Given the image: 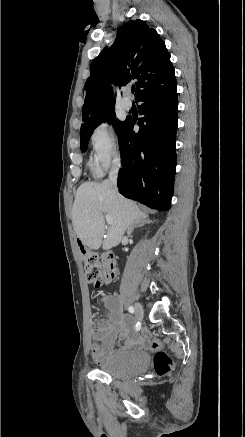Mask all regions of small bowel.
I'll return each instance as SVG.
<instances>
[{"label": "small bowel", "instance_id": "c3829d8e", "mask_svg": "<svg viewBox=\"0 0 245 437\" xmlns=\"http://www.w3.org/2000/svg\"><path fill=\"white\" fill-rule=\"evenodd\" d=\"M103 301L110 311V318L98 322L92 335L91 349L92 356L99 362L115 353V341L118 337L124 341L122 348L143 345L145 342L134 329L133 320L120 311V303L116 295H106Z\"/></svg>", "mask_w": 245, "mask_h": 437}]
</instances>
